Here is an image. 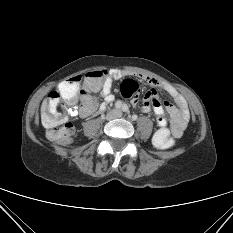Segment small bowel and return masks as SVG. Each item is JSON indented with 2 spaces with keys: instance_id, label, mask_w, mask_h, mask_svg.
Instances as JSON below:
<instances>
[{
  "instance_id": "small-bowel-1",
  "label": "small bowel",
  "mask_w": 233,
  "mask_h": 233,
  "mask_svg": "<svg viewBox=\"0 0 233 233\" xmlns=\"http://www.w3.org/2000/svg\"><path fill=\"white\" fill-rule=\"evenodd\" d=\"M127 72L119 69L110 70L106 75L105 80L101 86L100 95L103 102L99 105L98 109L104 111L108 103L114 100V95L111 93L112 84L114 81L121 79L126 76ZM141 79L145 81L149 86L150 90L146 93L142 103H139V96L137 91L133 93L131 103L133 106H139L141 111L149 112L153 110L156 114L157 125L160 129H166L169 117V123L171 126L172 133L175 137H181L186 128L189 119V110L187 103L183 96L168 83L161 82L148 76H142ZM158 91H164L173 99L174 104L164 101L163 104L159 101ZM96 103L94 101L89 102L84 98H81V104L78 108L73 109V115H79L82 118H87L93 114L96 110Z\"/></svg>"
}]
</instances>
